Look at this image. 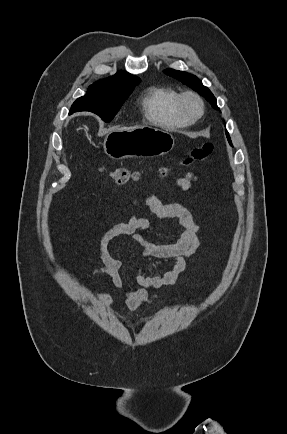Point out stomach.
<instances>
[{"mask_svg":"<svg viewBox=\"0 0 287 434\" xmlns=\"http://www.w3.org/2000/svg\"><path fill=\"white\" fill-rule=\"evenodd\" d=\"M104 152L112 159L143 158L164 155L174 147L168 131L153 126L112 130L104 139Z\"/></svg>","mask_w":287,"mask_h":434,"instance_id":"0dacf381","label":"stomach"}]
</instances>
